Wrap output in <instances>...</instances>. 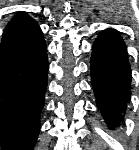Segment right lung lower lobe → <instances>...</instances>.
Instances as JSON below:
<instances>
[{"mask_svg":"<svg viewBox=\"0 0 139 150\" xmlns=\"http://www.w3.org/2000/svg\"><path fill=\"white\" fill-rule=\"evenodd\" d=\"M48 57L39 25L20 13L0 43L1 150H32L40 130Z\"/></svg>","mask_w":139,"mask_h":150,"instance_id":"right-lung-lower-lobe-1","label":"right lung lower lobe"}]
</instances>
